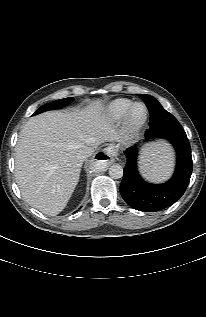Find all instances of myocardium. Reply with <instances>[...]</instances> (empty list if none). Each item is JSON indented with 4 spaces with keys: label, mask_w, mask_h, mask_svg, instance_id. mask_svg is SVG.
<instances>
[{
    "label": "myocardium",
    "mask_w": 206,
    "mask_h": 317,
    "mask_svg": "<svg viewBox=\"0 0 206 317\" xmlns=\"http://www.w3.org/2000/svg\"><path fill=\"white\" fill-rule=\"evenodd\" d=\"M143 109L141 115H137V110ZM148 117V109L143 103H135L128 110L125 117V127L129 133L138 131L145 123Z\"/></svg>",
    "instance_id": "f54148a6"
}]
</instances>
